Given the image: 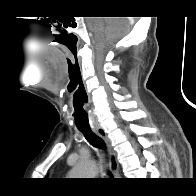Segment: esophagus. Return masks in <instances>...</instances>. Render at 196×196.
Instances as JSON below:
<instances>
[{
	"label": "esophagus",
	"mask_w": 196,
	"mask_h": 196,
	"mask_svg": "<svg viewBox=\"0 0 196 196\" xmlns=\"http://www.w3.org/2000/svg\"><path fill=\"white\" fill-rule=\"evenodd\" d=\"M93 131L96 132L98 136H100L104 140L109 154L110 169L115 179H118L120 177L119 162L117 160L116 151L114 150L109 137L107 136L104 128L101 126L93 127Z\"/></svg>",
	"instance_id": "obj_1"
}]
</instances>
